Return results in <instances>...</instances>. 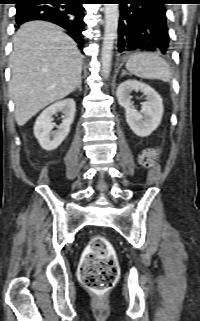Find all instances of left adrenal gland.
<instances>
[{
  "label": "left adrenal gland",
  "instance_id": "a2214340",
  "mask_svg": "<svg viewBox=\"0 0 200 321\" xmlns=\"http://www.w3.org/2000/svg\"><path fill=\"white\" fill-rule=\"evenodd\" d=\"M128 73L125 71V70H122V74H121V77L124 76V75H127Z\"/></svg>",
  "mask_w": 200,
  "mask_h": 321
}]
</instances>
